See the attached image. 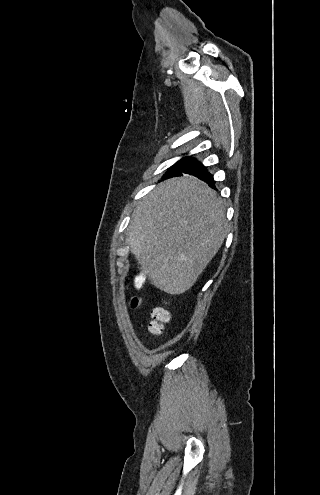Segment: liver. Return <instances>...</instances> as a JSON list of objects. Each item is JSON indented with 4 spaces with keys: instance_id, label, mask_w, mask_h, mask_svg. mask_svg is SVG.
<instances>
[{
    "instance_id": "1",
    "label": "liver",
    "mask_w": 320,
    "mask_h": 495,
    "mask_svg": "<svg viewBox=\"0 0 320 495\" xmlns=\"http://www.w3.org/2000/svg\"><path fill=\"white\" fill-rule=\"evenodd\" d=\"M227 225L216 191L186 174L165 180L137 206L128 244L151 284L179 295L218 252Z\"/></svg>"
}]
</instances>
